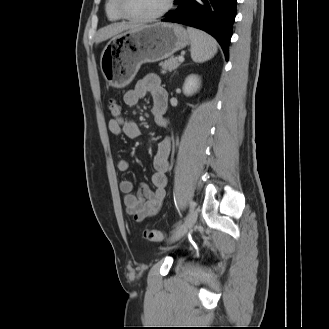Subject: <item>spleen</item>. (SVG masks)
Wrapping results in <instances>:
<instances>
[{"instance_id":"obj_1","label":"spleen","mask_w":329,"mask_h":329,"mask_svg":"<svg viewBox=\"0 0 329 329\" xmlns=\"http://www.w3.org/2000/svg\"><path fill=\"white\" fill-rule=\"evenodd\" d=\"M187 31L191 42V58L194 62H205L217 53V42L213 37L191 27H188Z\"/></svg>"}]
</instances>
